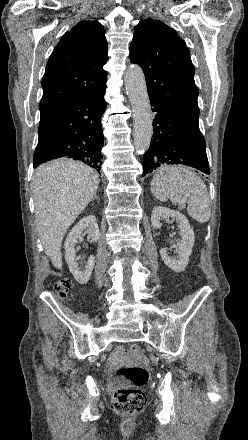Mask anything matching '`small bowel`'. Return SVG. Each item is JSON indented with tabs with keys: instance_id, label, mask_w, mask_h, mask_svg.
<instances>
[{
	"instance_id": "small-bowel-1",
	"label": "small bowel",
	"mask_w": 248,
	"mask_h": 440,
	"mask_svg": "<svg viewBox=\"0 0 248 440\" xmlns=\"http://www.w3.org/2000/svg\"><path fill=\"white\" fill-rule=\"evenodd\" d=\"M124 349L122 347H117L110 356V364L113 365L117 363L123 356Z\"/></svg>"
}]
</instances>
